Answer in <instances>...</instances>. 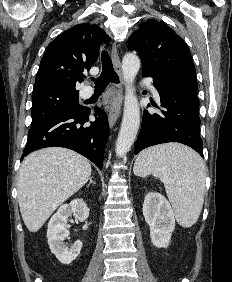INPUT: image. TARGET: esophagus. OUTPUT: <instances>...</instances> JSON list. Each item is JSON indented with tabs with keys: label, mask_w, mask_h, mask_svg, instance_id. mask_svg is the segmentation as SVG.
<instances>
[{
	"label": "esophagus",
	"mask_w": 232,
	"mask_h": 282,
	"mask_svg": "<svg viewBox=\"0 0 232 282\" xmlns=\"http://www.w3.org/2000/svg\"><path fill=\"white\" fill-rule=\"evenodd\" d=\"M111 57H112L114 69L118 74V76L121 78V74H122L121 62L117 51V44L115 42L112 44ZM122 102H123V90L121 83L118 82L116 84H113L111 88V105L108 114L110 128H113L117 119L120 116Z\"/></svg>",
	"instance_id": "1"
}]
</instances>
